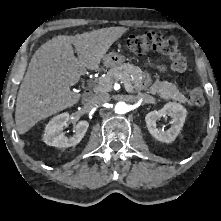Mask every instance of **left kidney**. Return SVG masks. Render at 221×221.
Returning a JSON list of instances; mask_svg holds the SVG:
<instances>
[{"label":"left kidney","mask_w":221,"mask_h":221,"mask_svg":"<svg viewBox=\"0 0 221 221\" xmlns=\"http://www.w3.org/2000/svg\"><path fill=\"white\" fill-rule=\"evenodd\" d=\"M186 115L187 111L182 105L171 102L158 111L149 112L145 117V121L150 134L155 139L161 142L170 143L174 141L180 133L185 122ZM167 116L172 118L173 125L167 131L158 129L156 121L161 117L167 118Z\"/></svg>","instance_id":"5707ae66"}]
</instances>
